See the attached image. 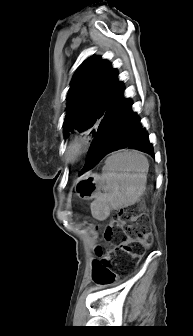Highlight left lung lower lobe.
Returning a JSON list of instances; mask_svg holds the SVG:
<instances>
[{
	"mask_svg": "<svg viewBox=\"0 0 193 336\" xmlns=\"http://www.w3.org/2000/svg\"><path fill=\"white\" fill-rule=\"evenodd\" d=\"M131 106L130 99L125 98L122 91L100 122L80 174L96 166L107 154L122 148L137 149L154 157L148 134Z\"/></svg>",
	"mask_w": 193,
	"mask_h": 336,
	"instance_id": "left-lung-lower-lobe-1",
	"label": "left lung lower lobe"
}]
</instances>
